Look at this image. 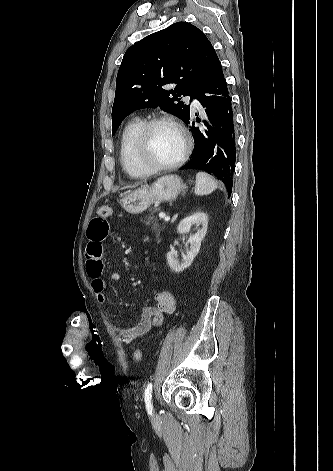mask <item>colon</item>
Segmentation results:
<instances>
[{"label":"colon","mask_w":333,"mask_h":471,"mask_svg":"<svg viewBox=\"0 0 333 471\" xmlns=\"http://www.w3.org/2000/svg\"><path fill=\"white\" fill-rule=\"evenodd\" d=\"M113 213V209L110 206L104 205L99 207L98 209V215L103 216V217H109ZM133 357L135 360L139 361L142 358V351L137 349L135 350Z\"/></svg>","instance_id":"obj_1"}]
</instances>
